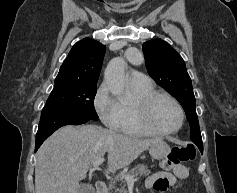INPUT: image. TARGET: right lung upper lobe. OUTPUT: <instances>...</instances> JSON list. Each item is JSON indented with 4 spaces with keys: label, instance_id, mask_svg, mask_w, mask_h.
<instances>
[{
    "label": "right lung upper lobe",
    "instance_id": "cb5924a9",
    "mask_svg": "<svg viewBox=\"0 0 237 193\" xmlns=\"http://www.w3.org/2000/svg\"><path fill=\"white\" fill-rule=\"evenodd\" d=\"M105 49V45L91 38L77 42L60 67L56 79L97 83Z\"/></svg>",
    "mask_w": 237,
    "mask_h": 193
}]
</instances>
